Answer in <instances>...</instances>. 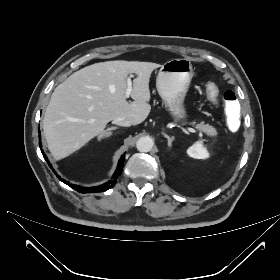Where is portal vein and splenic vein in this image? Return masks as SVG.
I'll return each mask as SVG.
<instances>
[{
	"label": "portal vein and splenic vein",
	"mask_w": 280,
	"mask_h": 280,
	"mask_svg": "<svg viewBox=\"0 0 280 280\" xmlns=\"http://www.w3.org/2000/svg\"><path fill=\"white\" fill-rule=\"evenodd\" d=\"M131 92H132V82H131V79L128 78L127 79V89H126V92H125V97L128 98L130 96ZM187 130L189 132L196 133V130L193 129V128L187 127Z\"/></svg>",
	"instance_id": "obj_1"
}]
</instances>
